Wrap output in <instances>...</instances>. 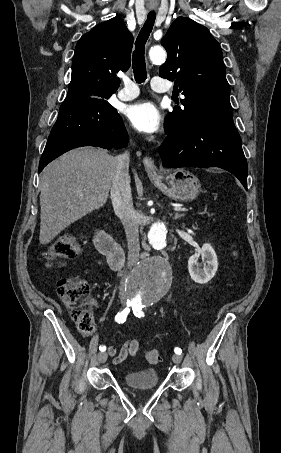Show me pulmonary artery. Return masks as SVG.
<instances>
[{"instance_id":"pulmonary-artery-1","label":"pulmonary artery","mask_w":281,"mask_h":453,"mask_svg":"<svg viewBox=\"0 0 281 453\" xmlns=\"http://www.w3.org/2000/svg\"><path fill=\"white\" fill-rule=\"evenodd\" d=\"M152 80L153 81L161 80V78L156 76ZM124 83H125L124 87L118 91V94H117L118 98L120 100L127 101V100H131V99H134L135 97H137L139 94V91H138L136 85L133 82L129 81L128 79H124ZM156 90L157 91H168L169 89L168 88H166V89L156 88Z\"/></svg>"}]
</instances>
